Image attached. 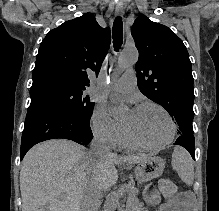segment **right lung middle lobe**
Masks as SVG:
<instances>
[{
	"instance_id": "1",
	"label": "right lung middle lobe",
	"mask_w": 219,
	"mask_h": 211,
	"mask_svg": "<svg viewBox=\"0 0 219 211\" xmlns=\"http://www.w3.org/2000/svg\"><path fill=\"white\" fill-rule=\"evenodd\" d=\"M82 90L61 84L46 85L38 90L30 92L31 98L49 97L58 101L76 116L89 120L94 108L88 96L82 97Z\"/></svg>"
}]
</instances>
